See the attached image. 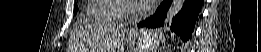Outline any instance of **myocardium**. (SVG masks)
Wrapping results in <instances>:
<instances>
[{
	"instance_id": "1",
	"label": "myocardium",
	"mask_w": 261,
	"mask_h": 52,
	"mask_svg": "<svg viewBox=\"0 0 261 52\" xmlns=\"http://www.w3.org/2000/svg\"><path fill=\"white\" fill-rule=\"evenodd\" d=\"M133 1H120V12L125 20H131L136 16L142 15L147 12V9L139 7L137 4L132 5Z\"/></svg>"
}]
</instances>
